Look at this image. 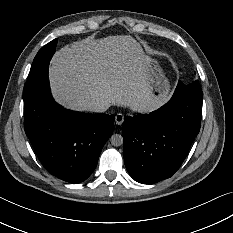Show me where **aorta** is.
I'll return each instance as SVG.
<instances>
[{
    "mask_svg": "<svg viewBox=\"0 0 233 233\" xmlns=\"http://www.w3.org/2000/svg\"><path fill=\"white\" fill-rule=\"evenodd\" d=\"M110 142L113 146H121L123 144V137L120 134H114L111 136Z\"/></svg>",
    "mask_w": 233,
    "mask_h": 233,
    "instance_id": "1",
    "label": "aorta"
}]
</instances>
